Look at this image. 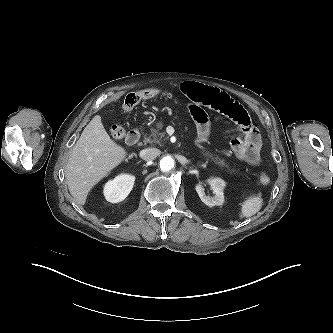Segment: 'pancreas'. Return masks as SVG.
I'll return each instance as SVG.
<instances>
[{
  "label": "pancreas",
  "mask_w": 333,
  "mask_h": 333,
  "mask_svg": "<svg viewBox=\"0 0 333 333\" xmlns=\"http://www.w3.org/2000/svg\"><path fill=\"white\" fill-rule=\"evenodd\" d=\"M157 128H151V134L144 135V143H150V144H158L162 137H164V133H159V130L163 128V123L159 122L157 123ZM205 156L209 157L213 162H215L217 165L224 167L226 166L225 161L218 157L217 155H214L210 152H205Z\"/></svg>",
  "instance_id": "obj_1"
}]
</instances>
